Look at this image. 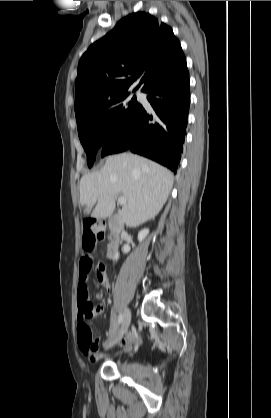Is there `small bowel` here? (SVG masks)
Returning a JSON list of instances; mask_svg holds the SVG:
<instances>
[{"instance_id": "c3829d8e", "label": "small bowel", "mask_w": 271, "mask_h": 418, "mask_svg": "<svg viewBox=\"0 0 271 418\" xmlns=\"http://www.w3.org/2000/svg\"><path fill=\"white\" fill-rule=\"evenodd\" d=\"M89 259L82 257L79 264V284L77 290V302H78V315L77 322L80 323H95L96 317L100 315L102 306L94 305L92 299H90V290L87 289L88 275L91 267L88 266ZM102 283L105 287H108L107 281L102 278ZM100 298L101 294H97ZM133 336L129 335L122 343L128 340H132ZM82 353L91 361L94 362L99 358L98 346L95 345L91 348H84L80 346Z\"/></svg>"}]
</instances>
